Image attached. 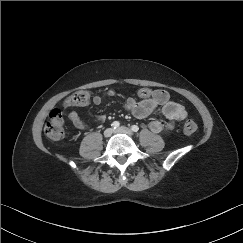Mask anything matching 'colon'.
Returning <instances> with one entry per match:
<instances>
[{
  "mask_svg": "<svg viewBox=\"0 0 243 243\" xmlns=\"http://www.w3.org/2000/svg\"><path fill=\"white\" fill-rule=\"evenodd\" d=\"M90 102V91L80 89L65 99L63 107L65 109L72 107L85 106ZM183 130L190 135L196 132L197 124L190 120L184 124ZM44 133L47 138L53 141L62 140L65 136V121L62 111L58 108L50 113L48 122L45 124Z\"/></svg>",
  "mask_w": 243,
  "mask_h": 243,
  "instance_id": "colon-1",
  "label": "colon"
}]
</instances>
